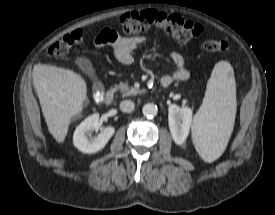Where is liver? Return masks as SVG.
I'll return each mask as SVG.
<instances>
[{"mask_svg": "<svg viewBox=\"0 0 275 215\" xmlns=\"http://www.w3.org/2000/svg\"><path fill=\"white\" fill-rule=\"evenodd\" d=\"M32 78L48 130L62 143L87 99L86 82L73 70L47 64L35 65Z\"/></svg>", "mask_w": 275, "mask_h": 215, "instance_id": "1", "label": "liver"}]
</instances>
